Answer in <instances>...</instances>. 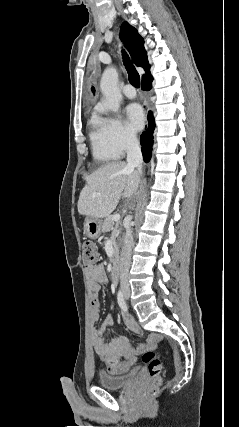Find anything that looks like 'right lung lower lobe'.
Instances as JSON below:
<instances>
[{
	"label": "right lung lower lobe",
	"instance_id": "1",
	"mask_svg": "<svg viewBox=\"0 0 239 427\" xmlns=\"http://www.w3.org/2000/svg\"><path fill=\"white\" fill-rule=\"evenodd\" d=\"M152 80H153V77L151 75L145 78H142L141 88L143 90H150L152 87ZM148 123L149 125L147 129L141 134V138H140V142L142 145V154L145 162H148L150 160L151 154H152L153 132L155 128V122H154L152 112H149L148 114Z\"/></svg>",
	"mask_w": 239,
	"mask_h": 427
}]
</instances>
